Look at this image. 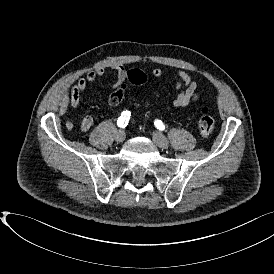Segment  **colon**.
<instances>
[{"mask_svg":"<svg viewBox=\"0 0 274 274\" xmlns=\"http://www.w3.org/2000/svg\"><path fill=\"white\" fill-rule=\"evenodd\" d=\"M125 78L133 84L142 85L146 82L147 76L146 74L139 69H131L127 71L125 74ZM128 90V85L125 82H120L116 86V90L113 93H110L106 97V102L110 106H115L116 104H120L125 98V92ZM73 127V123L71 121L67 122V128L71 129ZM214 128V120L209 114V110L207 107L201 108V116L198 120V129L201 134H210Z\"/></svg>","mask_w":274,"mask_h":274,"instance_id":"1","label":"colon"}]
</instances>
